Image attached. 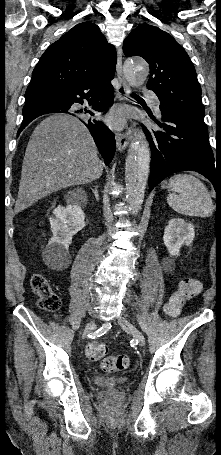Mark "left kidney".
Listing matches in <instances>:
<instances>
[{
  "label": "left kidney",
  "instance_id": "left-kidney-1",
  "mask_svg": "<svg viewBox=\"0 0 221 455\" xmlns=\"http://www.w3.org/2000/svg\"><path fill=\"white\" fill-rule=\"evenodd\" d=\"M195 237L194 226L181 218H173L165 227L163 241L170 256H179L183 245L189 246Z\"/></svg>",
  "mask_w": 221,
  "mask_h": 455
}]
</instances>
